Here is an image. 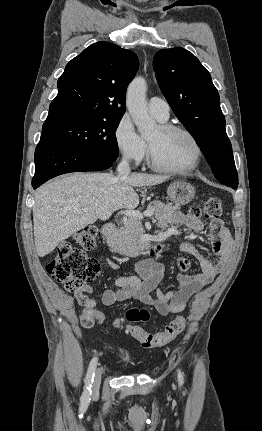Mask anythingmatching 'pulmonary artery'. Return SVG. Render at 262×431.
I'll return each mask as SVG.
<instances>
[{"label":"pulmonary artery","mask_w":262,"mask_h":431,"mask_svg":"<svg viewBox=\"0 0 262 431\" xmlns=\"http://www.w3.org/2000/svg\"><path fill=\"white\" fill-rule=\"evenodd\" d=\"M148 107L152 115L158 120L166 121L169 118V105L165 100L159 97H151L148 102Z\"/></svg>","instance_id":"e3ab8cb5"}]
</instances>
